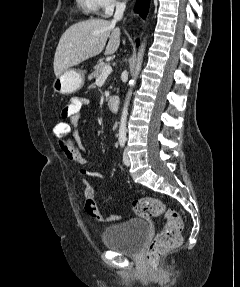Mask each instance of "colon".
<instances>
[{"label":"colon","instance_id":"1","mask_svg":"<svg viewBox=\"0 0 240 287\" xmlns=\"http://www.w3.org/2000/svg\"><path fill=\"white\" fill-rule=\"evenodd\" d=\"M53 132L59 142L70 144L72 126L68 121L61 118L54 125ZM83 185L84 209L90 217L106 222L120 219L118 215H104L97 206L92 186L87 180H83ZM131 208L141 217L163 216L165 219L163 228L155 235L146 253V262L157 268L162 257L182 243L183 220L176 211L167 208L159 199L153 197L137 199L132 202Z\"/></svg>","mask_w":240,"mask_h":287}]
</instances>
